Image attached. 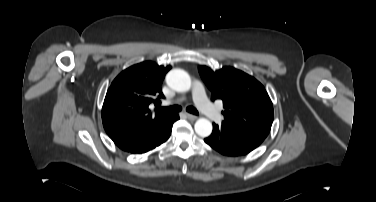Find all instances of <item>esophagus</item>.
Masks as SVG:
<instances>
[{"mask_svg": "<svg viewBox=\"0 0 376 202\" xmlns=\"http://www.w3.org/2000/svg\"><path fill=\"white\" fill-rule=\"evenodd\" d=\"M186 117L191 120V121H195L197 119V116L193 115V114H190V113H186Z\"/></svg>", "mask_w": 376, "mask_h": 202, "instance_id": "1", "label": "esophagus"}]
</instances>
